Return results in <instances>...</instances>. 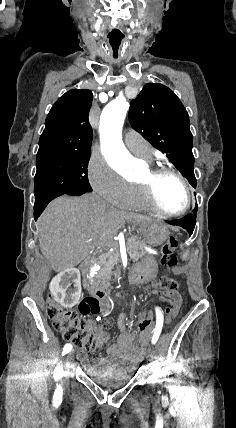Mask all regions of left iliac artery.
<instances>
[{
  "mask_svg": "<svg viewBox=\"0 0 236 428\" xmlns=\"http://www.w3.org/2000/svg\"><path fill=\"white\" fill-rule=\"evenodd\" d=\"M163 327V314L159 308H156V327L152 337V344H155L160 336Z\"/></svg>",
  "mask_w": 236,
  "mask_h": 428,
  "instance_id": "44dca946",
  "label": "left iliac artery"
}]
</instances>
